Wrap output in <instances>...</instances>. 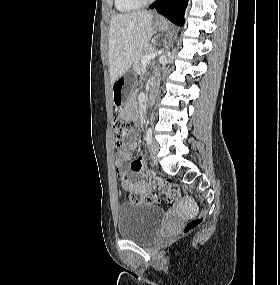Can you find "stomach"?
I'll use <instances>...</instances> for the list:
<instances>
[{
  "instance_id": "obj_1",
  "label": "stomach",
  "mask_w": 280,
  "mask_h": 285,
  "mask_svg": "<svg viewBox=\"0 0 280 285\" xmlns=\"http://www.w3.org/2000/svg\"><path fill=\"white\" fill-rule=\"evenodd\" d=\"M168 27L166 21L157 20L154 23V28L159 31H164ZM133 79L127 72L118 78L112 85V98L115 106L124 105L127 99V89L132 84Z\"/></svg>"
}]
</instances>
